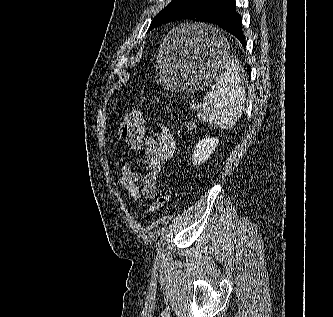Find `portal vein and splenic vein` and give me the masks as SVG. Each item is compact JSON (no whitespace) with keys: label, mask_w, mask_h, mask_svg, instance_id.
I'll return each instance as SVG.
<instances>
[{"label":"portal vein and splenic vein","mask_w":333,"mask_h":317,"mask_svg":"<svg viewBox=\"0 0 333 317\" xmlns=\"http://www.w3.org/2000/svg\"><path fill=\"white\" fill-rule=\"evenodd\" d=\"M202 105L200 104V105H195V104H190L189 105V108L190 109H196V108H199V107H201Z\"/></svg>","instance_id":"portal-vein-and-splenic-vein-1"}]
</instances>
